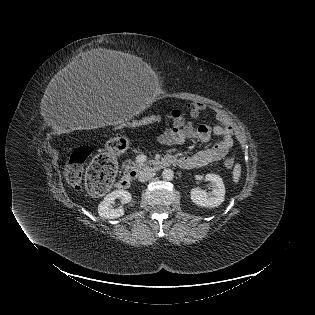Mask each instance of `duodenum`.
Here are the masks:
<instances>
[{
	"label": "duodenum",
	"mask_w": 315,
	"mask_h": 315,
	"mask_svg": "<svg viewBox=\"0 0 315 315\" xmlns=\"http://www.w3.org/2000/svg\"><path fill=\"white\" fill-rule=\"evenodd\" d=\"M176 164L175 159L171 158V157H166L161 159L158 162V165L162 168L165 167H169L171 165ZM135 175V172H128L126 174H124L116 183V187L119 189H127L129 188L131 181H132V177Z\"/></svg>",
	"instance_id": "410a0bca"
}]
</instances>
